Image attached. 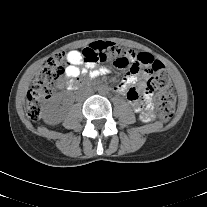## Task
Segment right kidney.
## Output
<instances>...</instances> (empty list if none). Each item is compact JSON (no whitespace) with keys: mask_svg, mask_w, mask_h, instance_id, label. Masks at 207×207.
I'll use <instances>...</instances> for the list:
<instances>
[{"mask_svg":"<svg viewBox=\"0 0 207 207\" xmlns=\"http://www.w3.org/2000/svg\"><path fill=\"white\" fill-rule=\"evenodd\" d=\"M44 122L50 125H55L63 121L64 113L58 108L57 98H53L47 105L44 116Z\"/></svg>","mask_w":207,"mask_h":207,"instance_id":"1","label":"right kidney"}]
</instances>
